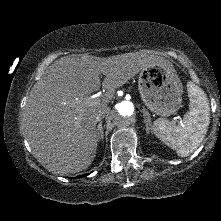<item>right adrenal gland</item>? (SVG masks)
<instances>
[{"mask_svg":"<svg viewBox=\"0 0 221 221\" xmlns=\"http://www.w3.org/2000/svg\"><path fill=\"white\" fill-rule=\"evenodd\" d=\"M103 122L100 121L98 126H97V141H102L104 138V132H103Z\"/></svg>","mask_w":221,"mask_h":221,"instance_id":"obj_1","label":"right adrenal gland"}]
</instances>
